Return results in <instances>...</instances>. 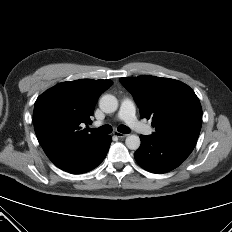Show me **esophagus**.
Instances as JSON below:
<instances>
[{
	"instance_id": "1",
	"label": "esophagus",
	"mask_w": 232,
	"mask_h": 232,
	"mask_svg": "<svg viewBox=\"0 0 232 232\" xmlns=\"http://www.w3.org/2000/svg\"><path fill=\"white\" fill-rule=\"evenodd\" d=\"M113 135L118 137V138H125L128 136L127 134H123V133H120L118 131L113 132Z\"/></svg>"
}]
</instances>
